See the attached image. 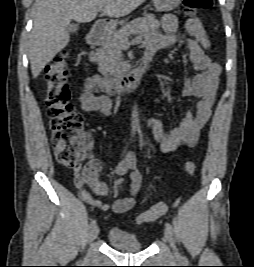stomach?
I'll return each instance as SVG.
<instances>
[{
    "instance_id": "stomach-1",
    "label": "stomach",
    "mask_w": 254,
    "mask_h": 267,
    "mask_svg": "<svg viewBox=\"0 0 254 267\" xmlns=\"http://www.w3.org/2000/svg\"><path fill=\"white\" fill-rule=\"evenodd\" d=\"M153 5L157 11L160 12H167L172 11L177 8L181 2V0H152ZM121 24L124 23L123 21L120 22ZM116 23L112 24L113 29L115 28Z\"/></svg>"
}]
</instances>
